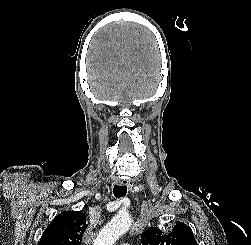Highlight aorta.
<instances>
[{"instance_id":"762f6f07","label":"aorta","mask_w":251,"mask_h":245,"mask_svg":"<svg viewBox=\"0 0 251 245\" xmlns=\"http://www.w3.org/2000/svg\"><path fill=\"white\" fill-rule=\"evenodd\" d=\"M131 226L128 214L120 212L98 234L93 245H114Z\"/></svg>"}]
</instances>
